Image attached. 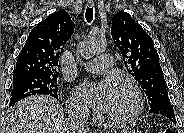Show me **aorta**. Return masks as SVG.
Instances as JSON below:
<instances>
[{
	"label": "aorta",
	"mask_w": 184,
	"mask_h": 133,
	"mask_svg": "<svg viewBox=\"0 0 184 133\" xmlns=\"http://www.w3.org/2000/svg\"><path fill=\"white\" fill-rule=\"evenodd\" d=\"M107 46L106 40L103 36L98 34H89L78 46L79 55L89 60L92 57L99 55L105 51Z\"/></svg>",
	"instance_id": "aorta-1"
}]
</instances>
